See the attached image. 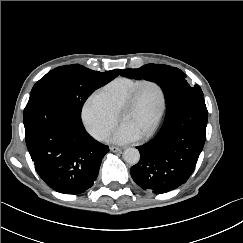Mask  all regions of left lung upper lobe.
Here are the masks:
<instances>
[{
    "instance_id": "obj_1",
    "label": "left lung upper lobe",
    "mask_w": 243,
    "mask_h": 243,
    "mask_svg": "<svg viewBox=\"0 0 243 243\" xmlns=\"http://www.w3.org/2000/svg\"><path fill=\"white\" fill-rule=\"evenodd\" d=\"M121 76L157 83L165 95L166 115L189 99L203 96L199 85L190 86L180 69L168 65L148 64L138 69H124Z\"/></svg>"
}]
</instances>
